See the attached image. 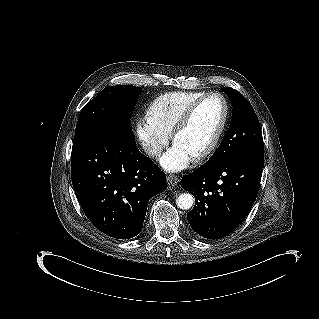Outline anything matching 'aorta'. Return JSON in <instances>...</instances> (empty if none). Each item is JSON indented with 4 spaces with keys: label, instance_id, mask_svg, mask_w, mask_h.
I'll list each match as a JSON object with an SVG mask.
<instances>
[{
    "label": "aorta",
    "instance_id": "obj_1",
    "mask_svg": "<svg viewBox=\"0 0 319 319\" xmlns=\"http://www.w3.org/2000/svg\"><path fill=\"white\" fill-rule=\"evenodd\" d=\"M194 197L190 193H182L176 199V204L180 209L187 210L193 206Z\"/></svg>",
    "mask_w": 319,
    "mask_h": 319
}]
</instances>
